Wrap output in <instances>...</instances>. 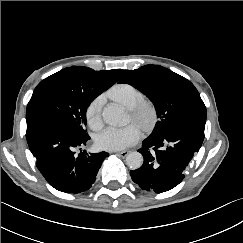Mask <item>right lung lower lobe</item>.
Instances as JSON below:
<instances>
[{
	"label": "right lung lower lobe",
	"mask_w": 243,
	"mask_h": 243,
	"mask_svg": "<svg viewBox=\"0 0 243 243\" xmlns=\"http://www.w3.org/2000/svg\"><path fill=\"white\" fill-rule=\"evenodd\" d=\"M26 138L36 166L55 189L65 193L88 190L96 179L106 152L87 154L80 146L86 145L88 135H79L62 118L45 111L26 114Z\"/></svg>",
	"instance_id": "98d812e1"
}]
</instances>
